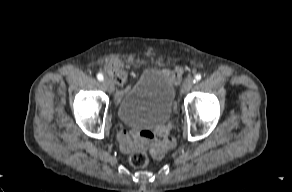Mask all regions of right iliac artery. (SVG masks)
<instances>
[{"mask_svg":"<svg viewBox=\"0 0 292 192\" xmlns=\"http://www.w3.org/2000/svg\"><path fill=\"white\" fill-rule=\"evenodd\" d=\"M97 79H98L99 81H103L104 77H103V75H102L101 73H98V74H97Z\"/></svg>","mask_w":292,"mask_h":192,"instance_id":"obj_1","label":"right iliac artery"}]
</instances>
